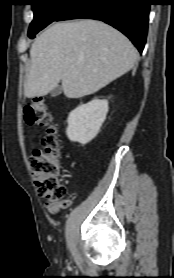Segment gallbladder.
Returning a JSON list of instances; mask_svg holds the SVG:
<instances>
[{
	"label": "gallbladder",
	"mask_w": 174,
	"mask_h": 278,
	"mask_svg": "<svg viewBox=\"0 0 174 278\" xmlns=\"http://www.w3.org/2000/svg\"><path fill=\"white\" fill-rule=\"evenodd\" d=\"M61 93H62V87L58 85L51 91V96L56 97L59 96Z\"/></svg>",
	"instance_id": "1"
}]
</instances>
